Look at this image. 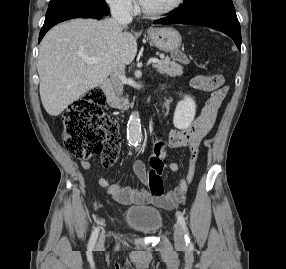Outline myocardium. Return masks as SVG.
Segmentation results:
<instances>
[{
	"mask_svg": "<svg viewBox=\"0 0 286 269\" xmlns=\"http://www.w3.org/2000/svg\"><path fill=\"white\" fill-rule=\"evenodd\" d=\"M184 0H174L169 6L166 8L160 9V10H149L144 7L142 2L139 0L140 10L141 12L148 17H161L167 14H170L174 12L176 9H178L182 4Z\"/></svg>",
	"mask_w": 286,
	"mask_h": 269,
	"instance_id": "1",
	"label": "myocardium"
}]
</instances>
